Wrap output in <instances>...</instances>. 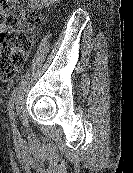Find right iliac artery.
<instances>
[{
  "label": "right iliac artery",
  "instance_id": "obj_1",
  "mask_svg": "<svg viewBox=\"0 0 133 173\" xmlns=\"http://www.w3.org/2000/svg\"><path fill=\"white\" fill-rule=\"evenodd\" d=\"M14 102H15V89L11 94V97L9 99V104H8V112L11 121L14 119Z\"/></svg>",
  "mask_w": 133,
  "mask_h": 173
}]
</instances>
